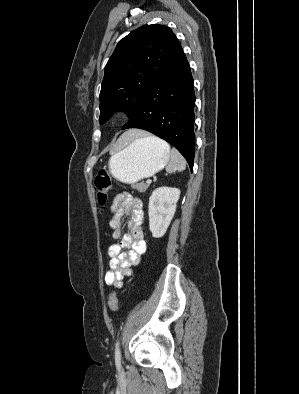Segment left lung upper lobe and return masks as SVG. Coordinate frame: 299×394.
<instances>
[{
	"label": "left lung upper lobe",
	"mask_w": 299,
	"mask_h": 394,
	"mask_svg": "<svg viewBox=\"0 0 299 394\" xmlns=\"http://www.w3.org/2000/svg\"><path fill=\"white\" fill-rule=\"evenodd\" d=\"M183 52L172 30L144 25L119 41L105 66L100 92V124L116 111L131 117L154 80Z\"/></svg>",
	"instance_id": "1"
}]
</instances>
